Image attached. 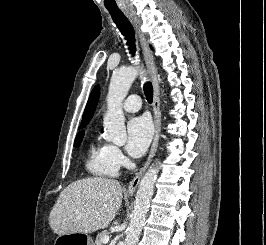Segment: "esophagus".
<instances>
[{
  "label": "esophagus",
  "instance_id": "esophagus-1",
  "mask_svg": "<svg viewBox=\"0 0 266 245\" xmlns=\"http://www.w3.org/2000/svg\"><path fill=\"white\" fill-rule=\"evenodd\" d=\"M127 17L131 20V22L135 25L136 31L138 33L139 39H140V44L142 47L143 55H144V60L146 62V65L148 67L150 79L152 81L153 85V117H154V124H155V136L150 148V152L148 155V158L141 168V170L135 175L133 180L130 182L129 186L127 187V193L128 194H133L138 187V184L144 175V172L146 171L147 167L149 166L150 162L152 161V158L155 155V152L158 147V142H159V137H160V132H161V110H160V89H159V82L157 79V71L155 67V62H154V57L152 55V52L150 51L145 36L143 32H141L140 28L137 26L136 21L133 19V17L126 12Z\"/></svg>",
  "mask_w": 266,
  "mask_h": 245
}]
</instances>
